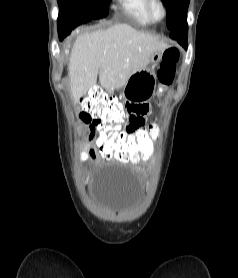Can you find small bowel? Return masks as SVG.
I'll return each mask as SVG.
<instances>
[{"mask_svg": "<svg viewBox=\"0 0 238 278\" xmlns=\"http://www.w3.org/2000/svg\"><path fill=\"white\" fill-rule=\"evenodd\" d=\"M149 108L144 103H136L131 104V108L129 111L128 119L126 123L124 124L122 131H127V136H120V137H134L135 130H147L145 129V123L146 118L148 114ZM96 129V126H92L90 129L89 134V142H92L95 145L96 139L93 135L94 130ZM148 130H155V129H148ZM147 137H150V135H147ZM97 146L91 147L88 152L82 153L81 157L83 159H86L88 157L92 159L98 158V152H97ZM109 160V159H106ZM130 163H136V162H130Z\"/></svg>", "mask_w": 238, "mask_h": 278, "instance_id": "obj_1", "label": "small bowel"}]
</instances>
